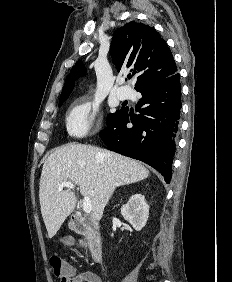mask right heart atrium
Returning <instances> with one entry per match:
<instances>
[{"label": "right heart atrium", "instance_id": "1", "mask_svg": "<svg viewBox=\"0 0 232 282\" xmlns=\"http://www.w3.org/2000/svg\"><path fill=\"white\" fill-rule=\"evenodd\" d=\"M98 116L97 107L87 99L76 100L66 116V129L75 139L88 136L94 129Z\"/></svg>", "mask_w": 232, "mask_h": 282}]
</instances>
